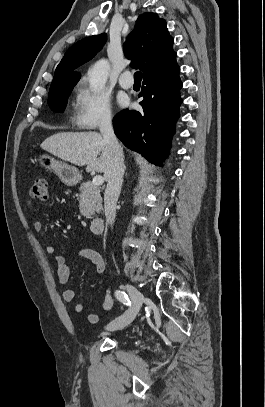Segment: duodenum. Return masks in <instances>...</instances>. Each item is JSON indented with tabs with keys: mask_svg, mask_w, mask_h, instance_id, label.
Segmentation results:
<instances>
[{
	"mask_svg": "<svg viewBox=\"0 0 265 407\" xmlns=\"http://www.w3.org/2000/svg\"><path fill=\"white\" fill-rule=\"evenodd\" d=\"M91 231L96 234H101L104 231L105 221L101 217H95L90 223Z\"/></svg>",
	"mask_w": 265,
	"mask_h": 407,
	"instance_id": "410a0bca",
	"label": "duodenum"
}]
</instances>
